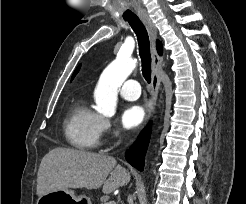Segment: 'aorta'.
I'll return each instance as SVG.
<instances>
[{"mask_svg": "<svg viewBox=\"0 0 246 204\" xmlns=\"http://www.w3.org/2000/svg\"><path fill=\"white\" fill-rule=\"evenodd\" d=\"M136 67V60L117 57L103 71L95 90L96 110L106 117H112L116 112L118 88Z\"/></svg>", "mask_w": 246, "mask_h": 204, "instance_id": "1", "label": "aorta"}]
</instances>
